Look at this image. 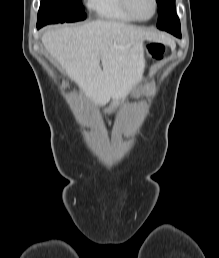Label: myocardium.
Listing matches in <instances>:
<instances>
[{"instance_id": "myocardium-1", "label": "myocardium", "mask_w": 219, "mask_h": 258, "mask_svg": "<svg viewBox=\"0 0 219 258\" xmlns=\"http://www.w3.org/2000/svg\"><path fill=\"white\" fill-rule=\"evenodd\" d=\"M121 1H122V6H123L124 10L127 12V14L131 18H133L136 21H141V22L149 21L156 15L157 10H158V1L157 0H152L153 1V6H154L152 15L148 18H140L134 13V11L131 7L130 0H121Z\"/></svg>"}]
</instances>
